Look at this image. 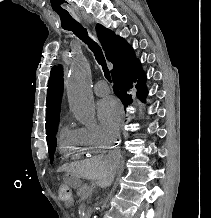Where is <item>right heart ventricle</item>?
I'll return each instance as SVG.
<instances>
[{
    "mask_svg": "<svg viewBox=\"0 0 211 218\" xmlns=\"http://www.w3.org/2000/svg\"><path fill=\"white\" fill-rule=\"evenodd\" d=\"M59 149L61 157H81L93 153H98L104 147H96L86 143L76 129L63 128L59 134Z\"/></svg>",
    "mask_w": 211,
    "mask_h": 218,
    "instance_id": "e07e8e85",
    "label": "right heart ventricle"
}]
</instances>
